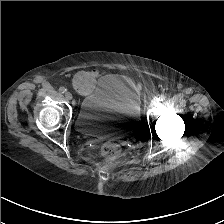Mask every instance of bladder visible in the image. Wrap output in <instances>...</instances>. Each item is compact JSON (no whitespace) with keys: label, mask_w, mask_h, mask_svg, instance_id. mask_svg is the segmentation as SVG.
Here are the masks:
<instances>
[{"label":"bladder","mask_w":224,"mask_h":224,"mask_svg":"<svg viewBox=\"0 0 224 224\" xmlns=\"http://www.w3.org/2000/svg\"><path fill=\"white\" fill-rule=\"evenodd\" d=\"M79 133L101 139L125 140L140 126L137 96L117 75H104L83 97L75 119Z\"/></svg>","instance_id":"obj_1"}]
</instances>
